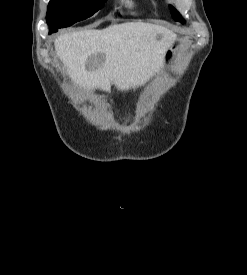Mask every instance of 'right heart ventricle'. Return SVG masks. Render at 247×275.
<instances>
[{"instance_id": "e07e8e85", "label": "right heart ventricle", "mask_w": 247, "mask_h": 275, "mask_svg": "<svg viewBox=\"0 0 247 275\" xmlns=\"http://www.w3.org/2000/svg\"><path fill=\"white\" fill-rule=\"evenodd\" d=\"M121 2L127 8H133L136 4L134 0H121Z\"/></svg>"}]
</instances>
